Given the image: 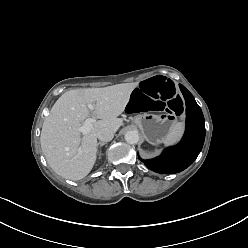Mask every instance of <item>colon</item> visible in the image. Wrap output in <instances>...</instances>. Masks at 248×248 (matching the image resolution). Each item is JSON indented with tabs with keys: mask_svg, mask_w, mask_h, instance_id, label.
Wrapping results in <instances>:
<instances>
[{
	"mask_svg": "<svg viewBox=\"0 0 248 248\" xmlns=\"http://www.w3.org/2000/svg\"><path fill=\"white\" fill-rule=\"evenodd\" d=\"M129 112H165L183 111V101L175 85L163 78H153L136 87L131 100L127 102Z\"/></svg>",
	"mask_w": 248,
	"mask_h": 248,
	"instance_id": "1",
	"label": "colon"
}]
</instances>
